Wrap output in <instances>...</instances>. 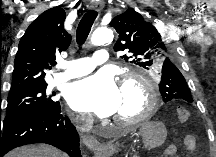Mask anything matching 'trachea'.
<instances>
[{"instance_id":"trachea-1","label":"trachea","mask_w":216,"mask_h":157,"mask_svg":"<svg viewBox=\"0 0 216 157\" xmlns=\"http://www.w3.org/2000/svg\"><path fill=\"white\" fill-rule=\"evenodd\" d=\"M97 15H98L97 11L89 10L87 13H85L83 18L79 22L77 33H76V39L78 45L81 46L86 41Z\"/></svg>"}]
</instances>
